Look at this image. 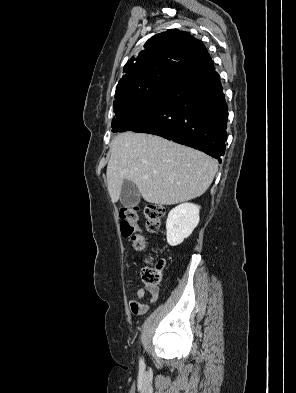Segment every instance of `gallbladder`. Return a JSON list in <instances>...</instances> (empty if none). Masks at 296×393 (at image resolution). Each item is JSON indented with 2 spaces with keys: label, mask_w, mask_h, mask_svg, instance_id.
Wrapping results in <instances>:
<instances>
[{
  "label": "gallbladder",
  "mask_w": 296,
  "mask_h": 393,
  "mask_svg": "<svg viewBox=\"0 0 296 393\" xmlns=\"http://www.w3.org/2000/svg\"><path fill=\"white\" fill-rule=\"evenodd\" d=\"M120 202L126 208L134 207L140 202L139 189L132 181H124L120 194Z\"/></svg>",
  "instance_id": "bac80fb5"
}]
</instances>
